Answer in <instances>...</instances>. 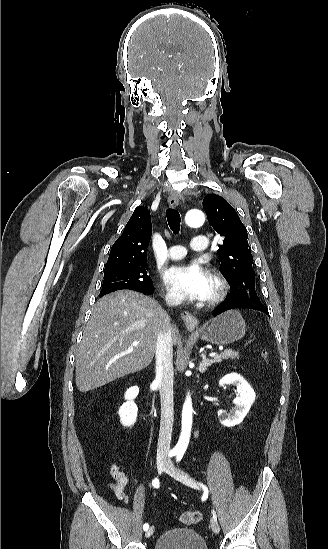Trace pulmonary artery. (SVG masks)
Masks as SVG:
<instances>
[{"label": "pulmonary artery", "instance_id": "1", "mask_svg": "<svg viewBox=\"0 0 328 549\" xmlns=\"http://www.w3.org/2000/svg\"><path fill=\"white\" fill-rule=\"evenodd\" d=\"M189 246L194 252H208L211 245L208 241H204L202 238L191 237L188 241ZM188 249L186 246H174L173 250L168 251V257L172 260H178L182 257H186Z\"/></svg>", "mask_w": 328, "mask_h": 549}]
</instances>
